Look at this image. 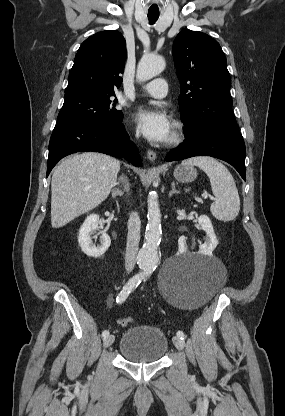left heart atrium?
Here are the masks:
<instances>
[{
  "label": "left heart atrium",
  "instance_id": "obj_1",
  "mask_svg": "<svg viewBox=\"0 0 285 416\" xmlns=\"http://www.w3.org/2000/svg\"><path fill=\"white\" fill-rule=\"evenodd\" d=\"M135 120L142 134L152 142L164 143L172 134L170 117L160 108H139Z\"/></svg>",
  "mask_w": 285,
  "mask_h": 416
}]
</instances>
